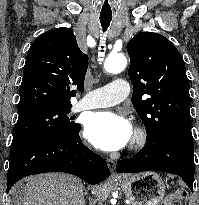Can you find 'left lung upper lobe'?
Returning <instances> with one entry per match:
<instances>
[{
    "instance_id": "1",
    "label": "left lung upper lobe",
    "mask_w": 199,
    "mask_h": 205,
    "mask_svg": "<svg viewBox=\"0 0 199 205\" xmlns=\"http://www.w3.org/2000/svg\"><path fill=\"white\" fill-rule=\"evenodd\" d=\"M132 103L147 138L160 139L174 129L191 130L189 80L176 47L164 36L140 32L127 44Z\"/></svg>"
}]
</instances>
